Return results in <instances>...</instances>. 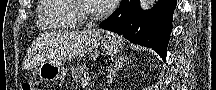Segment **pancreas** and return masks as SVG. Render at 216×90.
<instances>
[{
  "mask_svg": "<svg viewBox=\"0 0 216 90\" xmlns=\"http://www.w3.org/2000/svg\"><path fill=\"white\" fill-rule=\"evenodd\" d=\"M72 78L74 82H79L81 84L82 80H88L89 70L85 66H80V68H73L71 70Z\"/></svg>",
  "mask_w": 216,
  "mask_h": 90,
  "instance_id": "pancreas-1",
  "label": "pancreas"
}]
</instances>
